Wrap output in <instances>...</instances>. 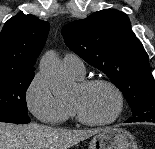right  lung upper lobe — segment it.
<instances>
[{
    "mask_svg": "<svg viewBox=\"0 0 155 149\" xmlns=\"http://www.w3.org/2000/svg\"><path fill=\"white\" fill-rule=\"evenodd\" d=\"M50 25L33 15L10 18L0 33V75L34 71Z\"/></svg>",
    "mask_w": 155,
    "mask_h": 149,
    "instance_id": "1",
    "label": "right lung upper lobe"
}]
</instances>
